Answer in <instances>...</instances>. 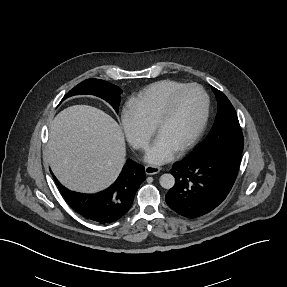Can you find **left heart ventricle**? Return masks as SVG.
I'll use <instances>...</instances> for the list:
<instances>
[{
    "mask_svg": "<svg viewBox=\"0 0 287 287\" xmlns=\"http://www.w3.org/2000/svg\"><path fill=\"white\" fill-rule=\"evenodd\" d=\"M202 111V94L196 89L186 90L175 100L171 115L158 130L157 137L177 150L198 126Z\"/></svg>",
    "mask_w": 287,
    "mask_h": 287,
    "instance_id": "obj_1",
    "label": "left heart ventricle"
}]
</instances>
